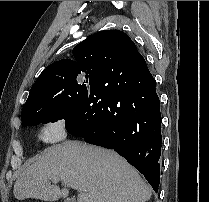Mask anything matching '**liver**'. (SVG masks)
Returning <instances> with one entry per match:
<instances>
[{"instance_id": "6515ba94", "label": "liver", "mask_w": 209, "mask_h": 202, "mask_svg": "<svg viewBox=\"0 0 209 202\" xmlns=\"http://www.w3.org/2000/svg\"><path fill=\"white\" fill-rule=\"evenodd\" d=\"M58 178L64 188L51 185ZM72 188L78 202H146L151 188L139 173L114 151L81 141H65L37 155L14 184L18 200L56 201Z\"/></svg>"}]
</instances>
